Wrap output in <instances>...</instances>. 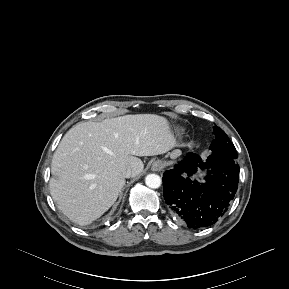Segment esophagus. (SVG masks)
<instances>
[{"instance_id": "esophagus-1", "label": "esophagus", "mask_w": 289, "mask_h": 289, "mask_svg": "<svg viewBox=\"0 0 289 289\" xmlns=\"http://www.w3.org/2000/svg\"><path fill=\"white\" fill-rule=\"evenodd\" d=\"M164 168V165L161 161H156L152 165V170L161 171Z\"/></svg>"}]
</instances>
